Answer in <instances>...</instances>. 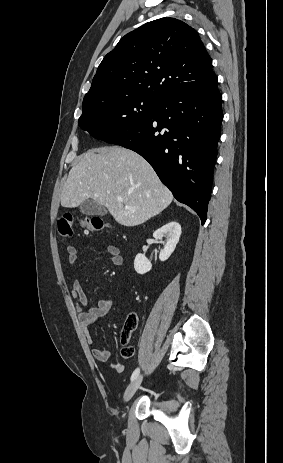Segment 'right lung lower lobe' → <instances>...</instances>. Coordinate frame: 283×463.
<instances>
[{"label": "right lung lower lobe", "instance_id": "obj_1", "mask_svg": "<svg viewBox=\"0 0 283 463\" xmlns=\"http://www.w3.org/2000/svg\"><path fill=\"white\" fill-rule=\"evenodd\" d=\"M217 81L163 98L146 121L106 141L144 157L174 197L196 211L202 224L223 120Z\"/></svg>", "mask_w": 283, "mask_h": 463}]
</instances>
